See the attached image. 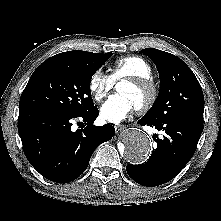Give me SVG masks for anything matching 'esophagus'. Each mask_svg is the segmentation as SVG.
Wrapping results in <instances>:
<instances>
[{
  "label": "esophagus",
  "instance_id": "obj_1",
  "mask_svg": "<svg viewBox=\"0 0 221 221\" xmlns=\"http://www.w3.org/2000/svg\"><path fill=\"white\" fill-rule=\"evenodd\" d=\"M124 128H125V127H124L123 125H116V126H115V130H116L117 133L123 131Z\"/></svg>",
  "mask_w": 221,
  "mask_h": 221
}]
</instances>
